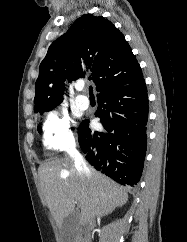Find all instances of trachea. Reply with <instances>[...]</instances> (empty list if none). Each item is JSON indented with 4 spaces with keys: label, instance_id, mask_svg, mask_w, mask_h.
Segmentation results:
<instances>
[{
    "label": "trachea",
    "instance_id": "trachea-1",
    "mask_svg": "<svg viewBox=\"0 0 187 242\" xmlns=\"http://www.w3.org/2000/svg\"><path fill=\"white\" fill-rule=\"evenodd\" d=\"M89 93H90V97L94 98L93 87L92 86H89Z\"/></svg>",
    "mask_w": 187,
    "mask_h": 242
}]
</instances>
